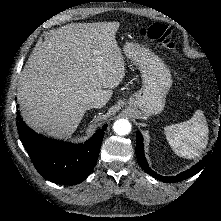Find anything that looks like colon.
Segmentation results:
<instances>
[{
  "label": "colon",
  "instance_id": "5ec220e1",
  "mask_svg": "<svg viewBox=\"0 0 221 221\" xmlns=\"http://www.w3.org/2000/svg\"><path fill=\"white\" fill-rule=\"evenodd\" d=\"M140 35L162 44L169 50H174L176 48L172 30L162 24H153L149 27L142 28Z\"/></svg>",
  "mask_w": 221,
  "mask_h": 221
}]
</instances>
